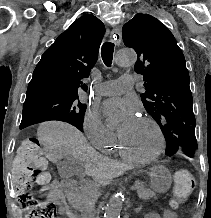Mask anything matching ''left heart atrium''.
Here are the masks:
<instances>
[{
    "label": "left heart atrium",
    "instance_id": "obj_1",
    "mask_svg": "<svg viewBox=\"0 0 211 218\" xmlns=\"http://www.w3.org/2000/svg\"><path fill=\"white\" fill-rule=\"evenodd\" d=\"M117 112L121 116L120 134L130 130L140 119L139 106L133 98H116L108 100L104 105L106 116Z\"/></svg>",
    "mask_w": 211,
    "mask_h": 218
}]
</instances>
